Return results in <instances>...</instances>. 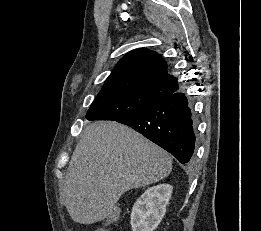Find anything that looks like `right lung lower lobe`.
<instances>
[{"instance_id":"1","label":"right lung lower lobe","mask_w":261,"mask_h":231,"mask_svg":"<svg viewBox=\"0 0 261 231\" xmlns=\"http://www.w3.org/2000/svg\"><path fill=\"white\" fill-rule=\"evenodd\" d=\"M117 122L140 132L171 153L180 163L184 165L192 163L196 122L192 105L183 92L170 94Z\"/></svg>"}]
</instances>
